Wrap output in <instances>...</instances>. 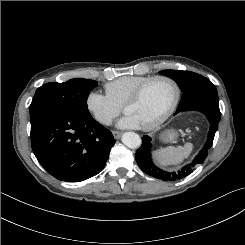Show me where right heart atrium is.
<instances>
[{
    "mask_svg": "<svg viewBox=\"0 0 245 245\" xmlns=\"http://www.w3.org/2000/svg\"><path fill=\"white\" fill-rule=\"evenodd\" d=\"M85 107L93 119L103 126H109L121 112V106L97 90L86 95Z\"/></svg>",
    "mask_w": 245,
    "mask_h": 245,
    "instance_id": "d8ad5b80",
    "label": "right heart atrium"
}]
</instances>
